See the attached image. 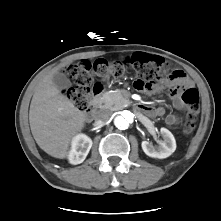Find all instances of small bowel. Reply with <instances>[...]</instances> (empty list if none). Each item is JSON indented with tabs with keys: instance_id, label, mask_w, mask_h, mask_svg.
<instances>
[{
	"instance_id": "obj_1",
	"label": "small bowel",
	"mask_w": 221,
	"mask_h": 221,
	"mask_svg": "<svg viewBox=\"0 0 221 221\" xmlns=\"http://www.w3.org/2000/svg\"><path fill=\"white\" fill-rule=\"evenodd\" d=\"M133 57V56H132ZM191 83L189 79L186 77L185 73L180 70L176 69L173 70L171 73L167 75L165 80L162 82L161 85L156 86L152 89V92L159 91L163 86H167L170 91V97L172 99L174 107L179 111L186 110V104L183 102L180 96V92L177 89L178 85H186L189 86ZM145 112L154 117H158L163 115L162 108H153V107H145ZM179 123V118L173 114H170L166 117V124L169 126H175Z\"/></svg>"
}]
</instances>
